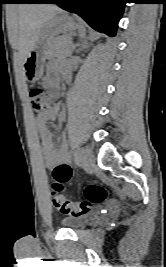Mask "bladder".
<instances>
[{
  "mask_svg": "<svg viewBox=\"0 0 166 267\" xmlns=\"http://www.w3.org/2000/svg\"><path fill=\"white\" fill-rule=\"evenodd\" d=\"M95 213H87L81 216L67 217L61 221V224L70 229H79L85 227L96 218Z\"/></svg>",
  "mask_w": 166,
  "mask_h": 267,
  "instance_id": "31cf9c89",
  "label": "bladder"
}]
</instances>
